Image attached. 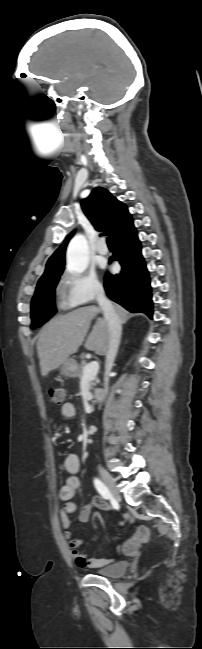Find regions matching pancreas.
Instances as JSON below:
<instances>
[{
    "instance_id": "cf45deb5",
    "label": "pancreas",
    "mask_w": 202,
    "mask_h": 649,
    "mask_svg": "<svg viewBox=\"0 0 202 649\" xmlns=\"http://www.w3.org/2000/svg\"><path fill=\"white\" fill-rule=\"evenodd\" d=\"M86 365H87L86 362L82 361L81 364L77 368L76 376L79 377L80 379L83 377V370H84V367ZM98 382H99V380L96 379L94 382L91 383V387H94Z\"/></svg>"
}]
</instances>
